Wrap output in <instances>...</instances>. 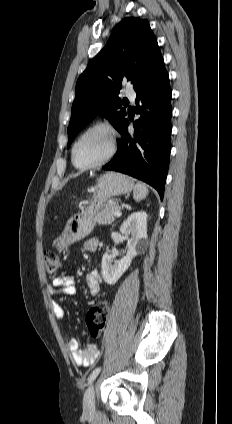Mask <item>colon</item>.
Listing matches in <instances>:
<instances>
[{
    "instance_id": "1",
    "label": "colon",
    "mask_w": 232,
    "mask_h": 424,
    "mask_svg": "<svg viewBox=\"0 0 232 424\" xmlns=\"http://www.w3.org/2000/svg\"><path fill=\"white\" fill-rule=\"evenodd\" d=\"M44 264L48 273H54L60 268V258L53 250L44 252ZM109 307L105 302L92 307L86 315V324L93 338L99 337L105 328Z\"/></svg>"
}]
</instances>
